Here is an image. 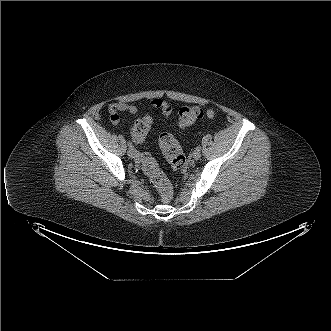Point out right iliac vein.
<instances>
[{"instance_id": "1", "label": "right iliac vein", "mask_w": 331, "mask_h": 331, "mask_svg": "<svg viewBox=\"0 0 331 331\" xmlns=\"http://www.w3.org/2000/svg\"><path fill=\"white\" fill-rule=\"evenodd\" d=\"M127 153L131 158H136L138 156V152L134 148H129Z\"/></svg>"}]
</instances>
